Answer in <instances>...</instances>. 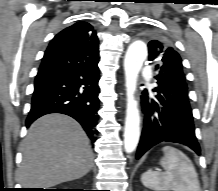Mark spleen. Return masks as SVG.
<instances>
[{
	"instance_id": "spleen-1",
	"label": "spleen",
	"mask_w": 218,
	"mask_h": 191,
	"mask_svg": "<svg viewBox=\"0 0 218 191\" xmlns=\"http://www.w3.org/2000/svg\"><path fill=\"white\" fill-rule=\"evenodd\" d=\"M160 165L164 172L147 171L142 174L144 186L155 191H201L197 172L191 160L180 150L165 146Z\"/></svg>"
}]
</instances>
